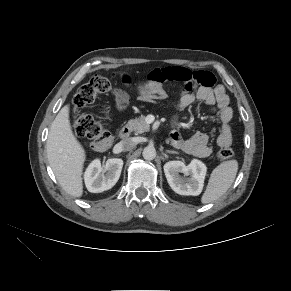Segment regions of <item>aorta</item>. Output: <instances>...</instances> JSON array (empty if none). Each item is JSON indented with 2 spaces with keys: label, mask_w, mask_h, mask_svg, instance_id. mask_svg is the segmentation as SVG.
Here are the masks:
<instances>
[{
  "label": "aorta",
  "mask_w": 291,
  "mask_h": 291,
  "mask_svg": "<svg viewBox=\"0 0 291 291\" xmlns=\"http://www.w3.org/2000/svg\"><path fill=\"white\" fill-rule=\"evenodd\" d=\"M142 155L145 160H153L156 157V150L152 146H147L144 148Z\"/></svg>",
  "instance_id": "1"
}]
</instances>
